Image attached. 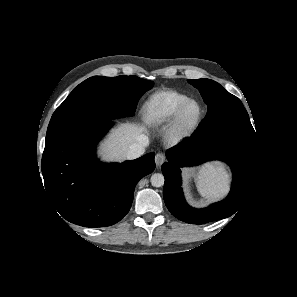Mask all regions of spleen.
I'll list each match as a JSON object with an SVG mask.
<instances>
[{
  "mask_svg": "<svg viewBox=\"0 0 297 297\" xmlns=\"http://www.w3.org/2000/svg\"><path fill=\"white\" fill-rule=\"evenodd\" d=\"M228 175L223 167L207 164L197 173V187L205 198H214L223 193L227 187Z\"/></svg>",
  "mask_w": 297,
  "mask_h": 297,
  "instance_id": "3e777b00",
  "label": "spleen"
}]
</instances>
